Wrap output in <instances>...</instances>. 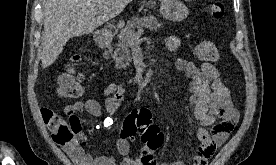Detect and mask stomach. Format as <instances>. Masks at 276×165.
Segmentation results:
<instances>
[{
    "label": "stomach",
    "instance_id": "obj_1",
    "mask_svg": "<svg viewBox=\"0 0 276 165\" xmlns=\"http://www.w3.org/2000/svg\"><path fill=\"white\" fill-rule=\"evenodd\" d=\"M161 15L173 22L183 21L189 14L188 8L180 0H159ZM105 31L98 32V36H103Z\"/></svg>",
    "mask_w": 276,
    "mask_h": 165
}]
</instances>
